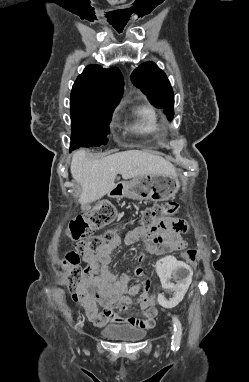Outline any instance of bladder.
<instances>
[{
  "mask_svg": "<svg viewBox=\"0 0 249 382\" xmlns=\"http://www.w3.org/2000/svg\"><path fill=\"white\" fill-rule=\"evenodd\" d=\"M102 334L109 340L136 342L146 336L143 329L130 325L109 324L102 329Z\"/></svg>",
  "mask_w": 249,
  "mask_h": 382,
  "instance_id": "bladder-1",
  "label": "bladder"
}]
</instances>
